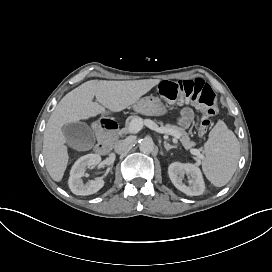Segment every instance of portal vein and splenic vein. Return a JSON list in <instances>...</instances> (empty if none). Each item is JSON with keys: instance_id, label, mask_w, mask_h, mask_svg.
<instances>
[{"instance_id": "portal-vein-and-splenic-vein-1", "label": "portal vein and splenic vein", "mask_w": 272, "mask_h": 272, "mask_svg": "<svg viewBox=\"0 0 272 272\" xmlns=\"http://www.w3.org/2000/svg\"><path fill=\"white\" fill-rule=\"evenodd\" d=\"M143 125L147 126L148 128H150L151 130H154L158 133H163V134H169L175 137V139L180 138V134L174 130L171 129H167L165 127H159L155 122H153L150 119H145L143 121L142 118H135L132 119L130 124H129V132L130 133H138ZM191 154L199 156V157H203V155L200 154L199 150L197 149H191L190 150Z\"/></svg>"}]
</instances>
